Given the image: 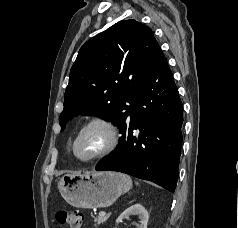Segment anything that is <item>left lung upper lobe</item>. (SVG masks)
<instances>
[{"label": "left lung upper lobe", "instance_id": "1", "mask_svg": "<svg viewBox=\"0 0 238 228\" xmlns=\"http://www.w3.org/2000/svg\"><path fill=\"white\" fill-rule=\"evenodd\" d=\"M159 50L152 30L135 20L119 21L87 41L70 70L61 131L81 113L106 118L120 128Z\"/></svg>", "mask_w": 238, "mask_h": 228}]
</instances>
